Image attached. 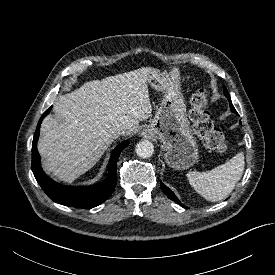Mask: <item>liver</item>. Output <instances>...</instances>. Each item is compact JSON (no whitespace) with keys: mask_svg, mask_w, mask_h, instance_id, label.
<instances>
[{"mask_svg":"<svg viewBox=\"0 0 275 275\" xmlns=\"http://www.w3.org/2000/svg\"><path fill=\"white\" fill-rule=\"evenodd\" d=\"M153 69L89 81L60 96L53 106L55 117L46 116L40 128L44 169L72 182L99 161L119 128H126V135L137 130L152 113L147 80Z\"/></svg>","mask_w":275,"mask_h":275,"instance_id":"obj_1","label":"liver"}]
</instances>
